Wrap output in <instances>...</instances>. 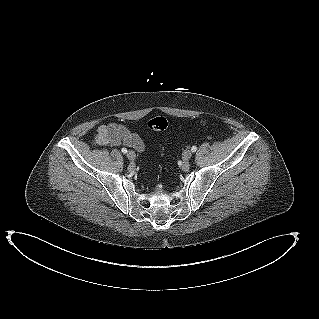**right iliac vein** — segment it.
Returning a JSON list of instances; mask_svg holds the SVG:
<instances>
[{"instance_id":"right-iliac-vein-1","label":"right iliac vein","mask_w":319,"mask_h":319,"mask_svg":"<svg viewBox=\"0 0 319 319\" xmlns=\"http://www.w3.org/2000/svg\"><path fill=\"white\" fill-rule=\"evenodd\" d=\"M127 158L129 159V160H135L136 159V154H135V152L134 151H129L128 153H127Z\"/></svg>"}]
</instances>
